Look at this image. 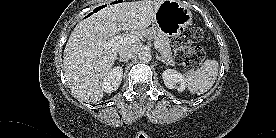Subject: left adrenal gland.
Instances as JSON below:
<instances>
[{"label": "left adrenal gland", "instance_id": "obj_1", "mask_svg": "<svg viewBox=\"0 0 276 138\" xmlns=\"http://www.w3.org/2000/svg\"><path fill=\"white\" fill-rule=\"evenodd\" d=\"M156 59L163 62L164 64H167L166 61L162 57L158 56V54L156 55Z\"/></svg>", "mask_w": 276, "mask_h": 138}]
</instances>
